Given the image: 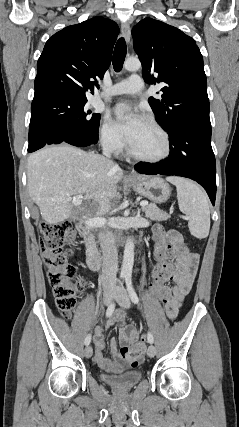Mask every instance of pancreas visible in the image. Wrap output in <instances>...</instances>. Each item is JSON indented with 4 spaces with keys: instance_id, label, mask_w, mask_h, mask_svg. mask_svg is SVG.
<instances>
[{
    "instance_id": "pancreas-1",
    "label": "pancreas",
    "mask_w": 239,
    "mask_h": 427,
    "mask_svg": "<svg viewBox=\"0 0 239 427\" xmlns=\"http://www.w3.org/2000/svg\"><path fill=\"white\" fill-rule=\"evenodd\" d=\"M142 211L145 213L146 218L153 221H166L170 217L168 214L161 211L154 203L142 207Z\"/></svg>"
}]
</instances>
